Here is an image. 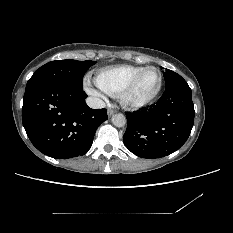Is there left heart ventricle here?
Returning <instances> with one entry per match:
<instances>
[{"mask_svg": "<svg viewBox=\"0 0 233 233\" xmlns=\"http://www.w3.org/2000/svg\"><path fill=\"white\" fill-rule=\"evenodd\" d=\"M159 84V75L156 70L147 71L138 81L130 98L133 101H140L151 96Z\"/></svg>", "mask_w": 233, "mask_h": 233, "instance_id": "obj_1", "label": "left heart ventricle"}]
</instances>
